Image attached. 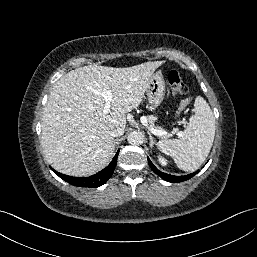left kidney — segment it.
<instances>
[{
	"mask_svg": "<svg viewBox=\"0 0 257 257\" xmlns=\"http://www.w3.org/2000/svg\"><path fill=\"white\" fill-rule=\"evenodd\" d=\"M157 160H158V162H159L162 166H167V164H168V161H167L164 157H162L161 155H158V156H157Z\"/></svg>",
	"mask_w": 257,
	"mask_h": 257,
	"instance_id": "5707ae66",
	"label": "left kidney"
}]
</instances>
